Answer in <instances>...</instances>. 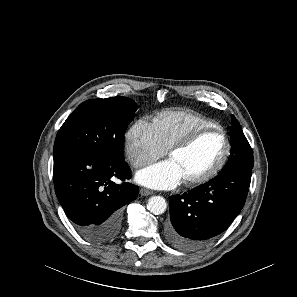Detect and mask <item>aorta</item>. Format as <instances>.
Listing matches in <instances>:
<instances>
[{"label":"aorta","instance_id":"1","mask_svg":"<svg viewBox=\"0 0 297 297\" xmlns=\"http://www.w3.org/2000/svg\"><path fill=\"white\" fill-rule=\"evenodd\" d=\"M166 207H167L166 201L161 196H153L149 198L147 203V209L155 215H160L164 213V211L166 210Z\"/></svg>","mask_w":297,"mask_h":297}]
</instances>
